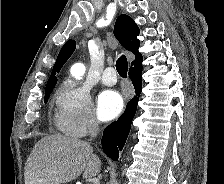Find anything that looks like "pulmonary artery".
Listing matches in <instances>:
<instances>
[{
  "label": "pulmonary artery",
  "instance_id": "e3ab8cb5",
  "mask_svg": "<svg viewBox=\"0 0 224 184\" xmlns=\"http://www.w3.org/2000/svg\"><path fill=\"white\" fill-rule=\"evenodd\" d=\"M101 80L106 86L115 85L117 82L116 70L113 67L106 68L102 74Z\"/></svg>",
  "mask_w": 224,
  "mask_h": 184
}]
</instances>
